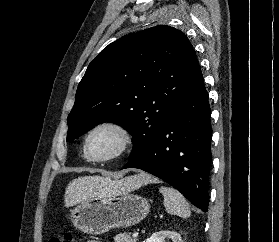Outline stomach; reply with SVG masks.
<instances>
[{
	"instance_id": "0dacf381",
	"label": "stomach",
	"mask_w": 279,
	"mask_h": 242,
	"mask_svg": "<svg viewBox=\"0 0 279 242\" xmlns=\"http://www.w3.org/2000/svg\"><path fill=\"white\" fill-rule=\"evenodd\" d=\"M149 210L150 204L145 197L118 188L106 196L83 200L71 210L70 217L76 229L99 235L114 228L134 226Z\"/></svg>"
}]
</instances>
